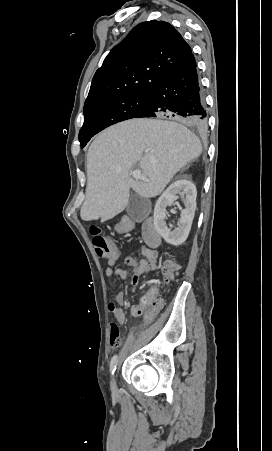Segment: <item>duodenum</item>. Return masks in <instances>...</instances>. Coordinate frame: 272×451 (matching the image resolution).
Here are the masks:
<instances>
[{"mask_svg":"<svg viewBox=\"0 0 272 451\" xmlns=\"http://www.w3.org/2000/svg\"><path fill=\"white\" fill-rule=\"evenodd\" d=\"M131 223L126 221L120 227L121 231H128L131 228ZM143 238L146 244L152 248L158 247L161 241L160 234L157 231L152 220H147L144 222L143 227Z\"/></svg>","mask_w":272,"mask_h":451,"instance_id":"1","label":"duodenum"}]
</instances>
